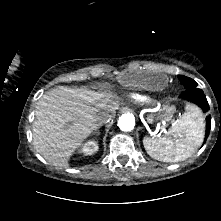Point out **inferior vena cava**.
Instances as JSON below:
<instances>
[{"label": "inferior vena cava", "instance_id": "1", "mask_svg": "<svg viewBox=\"0 0 221 221\" xmlns=\"http://www.w3.org/2000/svg\"><path fill=\"white\" fill-rule=\"evenodd\" d=\"M110 120H111V116L109 114H106V113H102L101 115H99L97 117V122H98L99 126L109 122Z\"/></svg>", "mask_w": 221, "mask_h": 221}]
</instances>
